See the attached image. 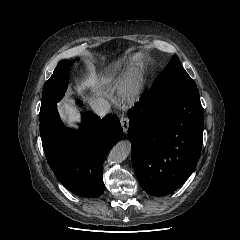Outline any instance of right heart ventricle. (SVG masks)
I'll use <instances>...</instances> for the list:
<instances>
[{"mask_svg":"<svg viewBox=\"0 0 240 240\" xmlns=\"http://www.w3.org/2000/svg\"><path fill=\"white\" fill-rule=\"evenodd\" d=\"M124 63L120 62L110 68L105 74V80L111 82L120 79L124 72Z\"/></svg>","mask_w":240,"mask_h":240,"instance_id":"e07e8e85","label":"right heart ventricle"}]
</instances>
